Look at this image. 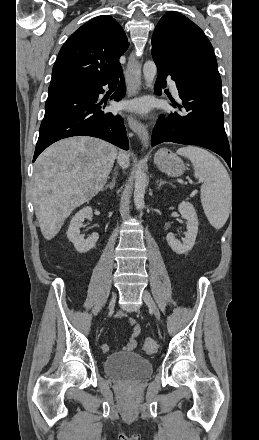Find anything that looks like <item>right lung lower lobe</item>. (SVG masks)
Masks as SVG:
<instances>
[{"instance_id":"right-lung-lower-lobe-1","label":"right lung lower lobe","mask_w":259,"mask_h":440,"mask_svg":"<svg viewBox=\"0 0 259 440\" xmlns=\"http://www.w3.org/2000/svg\"><path fill=\"white\" fill-rule=\"evenodd\" d=\"M120 70L113 77L96 84H85L71 88L54 89L48 92L45 115L42 120L33 162L52 143L71 136H93L104 139L128 150L129 143L123 119L114 113L103 112L97 101L103 93L102 86L121 77ZM125 94L124 78L111 97L119 101Z\"/></svg>"}]
</instances>
